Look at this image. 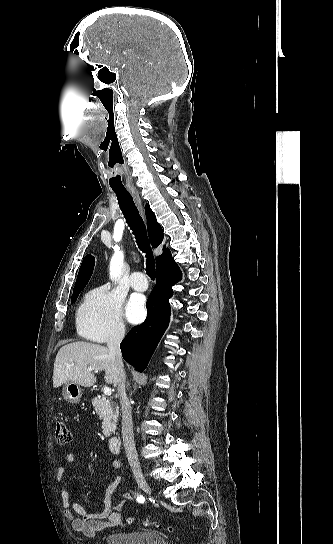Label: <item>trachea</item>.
I'll use <instances>...</instances> for the list:
<instances>
[{"label":"trachea","instance_id":"obj_1","mask_svg":"<svg viewBox=\"0 0 333 544\" xmlns=\"http://www.w3.org/2000/svg\"><path fill=\"white\" fill-rule=\"evenodd\" d=\"M113 191L117 196L118 204L124 214L126 222L133 231L139 249L145 253L146 272L151 279H154L155 259L147 237L144 222L139 215L133 198L127 190L113 189Z\"/></svg>","mask_w":333,"mask_h":544}]
</instances>
